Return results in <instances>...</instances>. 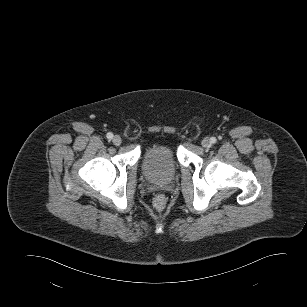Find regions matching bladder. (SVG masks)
<instances>
[{"label": "bladder", "instance_id": "bladder-1", "mask_svg": "<svg viewBox=\"0 0 307 307\" xmlns=\"http://www.w3.org/2000/svg\"><path fill=\"white\" fill-rule=\"evenodd\" d=\"M178 162L174 148L168 144H156L149 147L142 160L145 177L155 182L171 180L177 172Z\"/></svg>", "mask_w": 307, "mask_h": 307}]
</instances>
